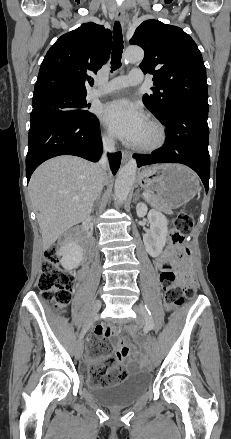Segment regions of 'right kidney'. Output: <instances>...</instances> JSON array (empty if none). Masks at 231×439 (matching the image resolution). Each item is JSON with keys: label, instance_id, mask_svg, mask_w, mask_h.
Returning <instances> with one entry per match:
<instances>
[{"label": "right kidney", "instance_id": "ca27d5eb", "mask_svg": "<svg viewBox=\"0 0 231 439\" xmlns=\"http://www.w3.org/2000/svg\"><path fill=\"white\" fill-rule=\"evenodd\" d=\"M57 254L62 256L60 263L65 270L71 271L80 265L83 258V249L72 242L62 246Z\"/></svg>", "mask_w": 231, "mask_h": 439}]
</instances>
